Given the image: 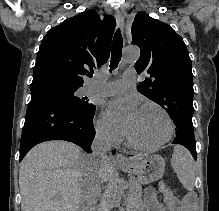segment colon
Listing matches in <instances>:
<instances>
[{
  "instance_id": "5ec220e1",
  "label": "colon",
  "mask_w": 219,
  "mask_h": 211,
  "mask_svg": "<svg viewBox=\"0 0 219 211\" xmlns=\"http://www.w3.org/2000/svg\"><path fill=\"white\" fill-rule=\"evenodd\" d=\"M161 190L163 192L162 203L168 208L174 207L176 203V197L170 187L165 183L161 184Z\"/></svg>"
}]
</instances>
